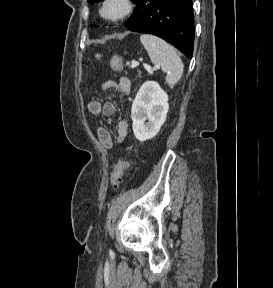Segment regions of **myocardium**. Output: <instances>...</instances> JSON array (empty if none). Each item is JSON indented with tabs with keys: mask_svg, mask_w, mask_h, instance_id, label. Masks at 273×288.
I'll return each instance as SVG.
<instances>
[{
	"mask_svg": "<svg viewBox=\"0 0 273 288\" xmlns=\"http://www.w3.org/2000/svg\"><path fill=\"white\" fill-rule=\"evenodd\" d=\"M113 3L119 5L118 12L114 15L106 14V8ZM135 10L136 2L134 0H103L99 7V15L107 22H118L130 17Z\"/></svg>",
	"mask_w": 273,
	"mask_h": 288,
	"instance_id": "myocardium-1",
	"label": "myocardium"
}]
</instances>
